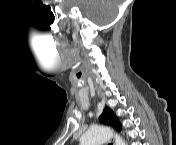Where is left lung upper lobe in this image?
Listing matches in <instances>:
<instances>
[{"mask_svg": "<svg viewBox=\"0 0 176 145\" xmlns=\"http://www.w3.org/2000/svg\"><path fill=\"white\" fill-rule=\"evenodd\" d=\"M99 119L101 123L111 125L115 129L121 130V125L111 109L105 108Z\"/></svg>", "mask_w": 176, "mask_h": 145, "instance_id": "left-lung-upper-lobe-1", "label": "left lung upper lobe"}]
</instances>
